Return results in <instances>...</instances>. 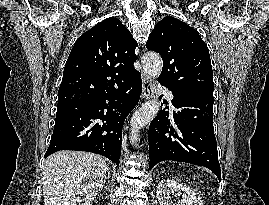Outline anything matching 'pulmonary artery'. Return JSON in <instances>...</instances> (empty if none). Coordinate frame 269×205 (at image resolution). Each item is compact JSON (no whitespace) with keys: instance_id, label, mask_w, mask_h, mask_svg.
Instances as JSON below:
<instances>
[{"instance_id":"1","label":"pulmonary artery","mask_w":269,"mask_h":205,"mask_svg":"<svg viewBox=\"0 0 269 205\" xmlns=\"http://www.w3.org/2000/svg\"><path fill=\"white\" fill-rule=\"evenodd\" d=\"M157 86H159V85H157ZM164 93L167 96V98L169 99V101H171L172 100V94H171V92L168 91V90H164Z\"/></svg>"}]
</instances>
